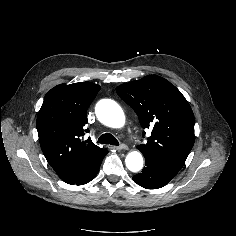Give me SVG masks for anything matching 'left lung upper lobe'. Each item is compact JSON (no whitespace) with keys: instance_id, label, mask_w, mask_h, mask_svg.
Listing matches in <instances>:
<instances>
[{"instance_id":"obj_1","label":"left lung upper lobe","mask_w":236,"mask_h":236,"mask_svg":"<svg viewBox=\"0 0 236 236\" xmlns=\"http://www.w3.org/2000/svg\"><path fill=\"white\" fill-rule=\"evenodd\" d=\"M116 92L134 109L141 126L152 129L147 144L137 148L179 172L195 141L194 114L182 93L157 75L121 84Z\"/></svg>"}]
</instances>
